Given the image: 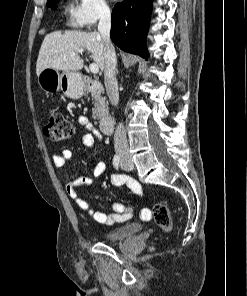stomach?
Wrapping results in <instances>:
<instances>
[{
  "label": "stomach",
  "mask_w": 247,
  "mask_h": 296,
  "mask_svg": "<svg viewBox=\"0 0 247 296\" xmlns=\"http://www.w3.org/2000/svg\"><path fill=\"white\" fill-rule=\"evenodd\" d=\"M37 76L38 85L46 94L53 95L62 90L67 97L78 99L84 93L79 74L66 71L60 73L59 70L46 68Z\"/></svg>",
  "instance_id": "stomach-1"
}]
</instances>
